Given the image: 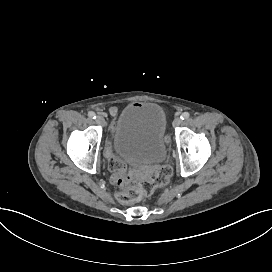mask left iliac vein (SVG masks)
Returning a JSON list of instances; mask_svg holds the SVG:
<instances>
[{
    "instance_id": "left-iliac-vein-1",
    "label": "left iliac vein",
    "mask_w": 272,
    "mask_h": 272,
    "mask_svg": "<svg viewBox=\"0 0 272 272\" xmlns=\"http://www.w3.org/2000/svg\"><path fill=\"white\" fill-rule=\"evenodd\" d=\"M181 123V118L180 117H177L175 118L174 122H173V126H179Z\"/></svg>"
}]
</instances>
